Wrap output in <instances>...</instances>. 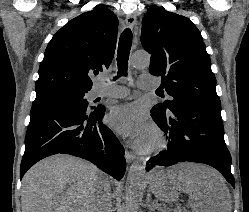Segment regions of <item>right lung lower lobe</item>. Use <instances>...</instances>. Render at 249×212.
<instances>
[{
    "instance_id": "98d812e1",
    "label": "right lung lower lobe",
    "mask_w": 249,
    "mask_h": 212,
    "mask_svg": "<svg viewBox=\"0 0 249 212\" xmlns=\"http://www.w3.org/2000/svg\"><path fill=\"white\" fill-rule=\"evenodd\" d=\"M104 111L103 106H32L20 178L39 160L60 153L89 160L120 180L126 168L124 148L102 123Z\"/></svg>"
}]
</instances>
